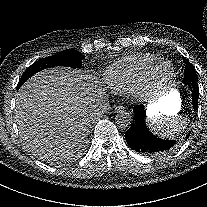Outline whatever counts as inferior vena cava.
<instances>
[{
    "instance_id": "602c4592",
    "label": "inferior vena cava",
    "mask_w": 207,
    "mask_h": 207,
    "mask_svg": "<svg viewBox=\"0 0 207 207\" xmlns=\"http://www.w3.org/2000/svg\"><path fill=\"white\" fill-rule=\"evenodd\" d=\"M96 116H98V115H97V112H95V114H94V117H96Z\"/></svg>"
}]
</instances>
